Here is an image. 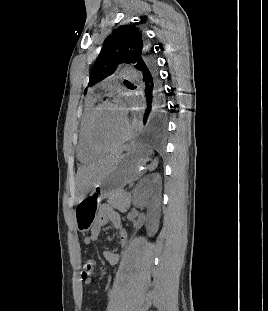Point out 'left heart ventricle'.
Wrapping results in <instances>:
<instances>
[{"mask_svg": "<svg viewBox=\"0 0 268 311\" xmlns=\"http://www.w3.org/2000/svg\"><path fill=\"white\" fill-rule=\"evenodd\" d=\"M125 131L126 119L113 105L100 110L93 123V137L101 146L117 142Z\"/></svg>", "mask_w": 268, "mask_h": 311, "instance_id": "left-heart-ventricle-1", "label": "left heart ventricle"}]
</instances>
